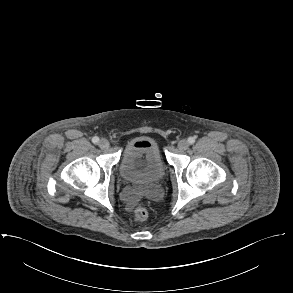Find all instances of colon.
Segmentation results:
<instances>
[{
    "mask_svg": "<svg viewBox=\"0 0 293 293\" xmlns=\"http://www.w3.org/2000/svg\"><path fill=\"white\" fill-rule=\"evenodd\" d=\"M134 217L136 221H145L148 217V210L144 205H138L134 210Z\"/></svg>",
    "mask_w": 293,
    "mask_h": 293,
    "instance_id": "5ec220e1",
    "label": "colon"
}]
</instances>
